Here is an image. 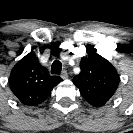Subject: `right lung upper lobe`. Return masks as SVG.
Masks as SVG:
<instances>
[{
    "instance_id": "obj_1",
    "label": "right lung upper lobe",
    "mask_w": 133,
    "mask_h": 133,
    "mask_svg": "<svg viewBox=\"0 0 133 133\" xmlns=\"http://www.w3.org/2000/svg\"><path fill=\"white\" fill-rule=\"evenodd\" d=\"M61 80L59 76H50L48 70L29 53L13 67L9 85L20 102L35 106L42 103Z\"/></svg>"
}]
</instances>
